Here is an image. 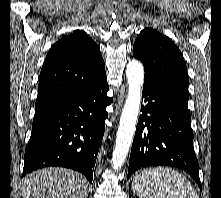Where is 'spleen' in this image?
Segmentation results:
<instances>
[{"mask_svg":"<svg viewBox=\"0 0 221 198\" xmlns=\"http://www.w3.org/2000/svg\"><path fill=\"white\" fill-rule=\"evenodd\" d=\"M132 188L139 198H199L191 183L168 167L140 172L134 177Z\"/></svg>","mask_w":221,"mask_h":198,"instance_id":"obj_1","label":"spleen"}]
</instances>
